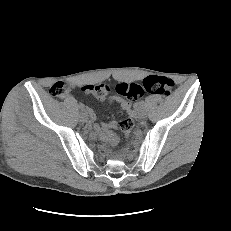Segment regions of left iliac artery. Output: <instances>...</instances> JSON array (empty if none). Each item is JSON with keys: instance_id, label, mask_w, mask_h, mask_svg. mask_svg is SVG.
I'll use <instances>...</instances> for the list:
<instances>
[{"instance_id": "44dca946", "label": "left iliac artery", "mask_w": 231, "mask_h": 231, "mask_svg": "<svg viewBox=\"0 0 231 231\" xmlns=\"http://www.w3.org/2000/svg\"><path fill=\"white\" fill-rule=\"evenodd\" d=\"M139 107L140 108H145L146 107V102L145 101H140L139 102Z\"/></svg>"}]
</instances>
